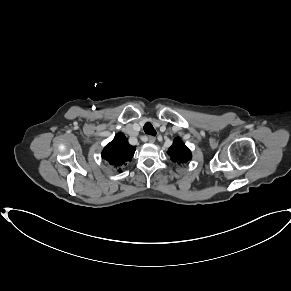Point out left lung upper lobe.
<instances>
[{
	"instance_id": "obj_1",
	"label": "left lung upper lobe",
	"mask_w": 291,
	"mask_h": 291,
	"mask_svg": "<svg viewBox=\"0 0 291 291\" xmlns=\"http://www.w3.org/2000/svg\"><path fill=\"white\" fill-rule=\"evenodd\" d=\"M168 154L170 159L178 164L186 163L192 158L191 151L180 138L174 139L172 146L168 150Z\"/></svg>"
}]
</instances>
